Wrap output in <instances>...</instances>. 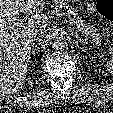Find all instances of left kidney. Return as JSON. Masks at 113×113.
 Returning <instances> with one entry per match:
<instances>
[{
  "instance_id": "5707ae66",
  "label": "left kidney",
  "mask_w": 113,
  "mask_h": 113,
  "mask_svg": "<svg viewBox=\"0 0 113 113\" xmlns=\"http://www.w3.org/2000/svg\"><path fill=\"white\" fill-rule=\"evenodd\" d=\"M94 58H95V57H91V56H90V59H91V61H93V63H94Z\"/></svg>"
}]
</instances>
